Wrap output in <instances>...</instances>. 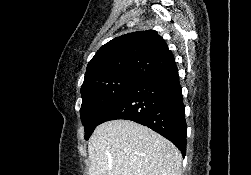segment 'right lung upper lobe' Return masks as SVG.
I'll list each match as a JSON object with an SVG mask.
<instances>
[{"instance_id": "obj_1", "label": "right lung upper lobe", "mask_w": 251, "mask_h": 175, "mask_svg": "<svg viewBox=\"0 0 251 175\" xmlns=\"http://www.w3.org/2000/svg\"><path fill=\"white\" fill-rule=\"evenodd\" d=\"M175 66L172 52L155 30L132 32L97 51L87 65L82 87L123 75L143 79Z\"/></svg>"}]
</instances>
